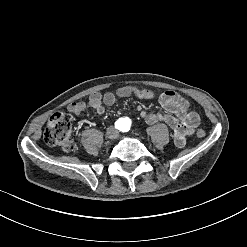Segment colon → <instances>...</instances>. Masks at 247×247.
<instances>
[{"mask_svg": "<svg viewBox=\"0 0 247 247\" xmlns=\"http://www.w3.org/2000/svg\"><path fill=\"white\" fill-rule=\"evenodd\" d=\"M138 95L140 97H147L149 90L147 88H140ZM71 133V123L67 116L63 113L55 112L45 125L43 139L44 142L51 147L65 152H72L76 148V144L71 138ZM197 136L204 137V130L197 129Z\"/></svg>", "mask_w": 247, "mask_h": 247, "instance_id": "1", "label": "colon"}]
</instances>
